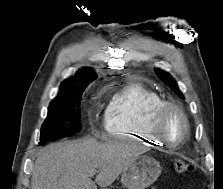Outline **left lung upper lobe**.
Returning <instances> with one entry per match:
<instances>
[{
  "mask_svg": "<svg viewBox=\"0 0 223 189\" xmlns=\"http://www.w3.org/2000/svg\"><path fill=\"white\" fill-rule=\"evenodd\" d=\"M157 76L169 86L179 97L183 98L181 91L178 89L177 83L164 71L156 70Z\"/></svg>",
  "mask_w": 223,
  "mask_h": 189,
  "instance_id": "left-lung-upper-lobe-1",
  "label": "left lung upper lobe"
}]
</instances>
